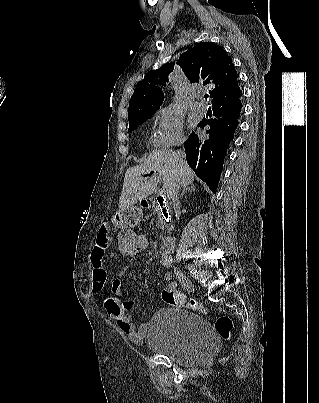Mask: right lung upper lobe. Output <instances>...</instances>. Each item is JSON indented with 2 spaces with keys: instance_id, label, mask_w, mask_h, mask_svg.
<instances>
[{
  "instance_id": "right-lung-upper-lobe-1",
  "label": "right lung upper lobe",
  "mask_w": 319,
  "mask_h": 403,
  "mask_svg": "<svg viewBox=\"0 0 319 403\" xmlns=\"http://www.w3.org/2000/svg\"><path fill=\"white\" fill-rule=\"evenodd\" d=\"M177 64L190 82L214 85L209 91L212 105L241 92L231 58L222 47L214 43L202 42L189 48L180 55ZM173 69L174 62L164 64L159 69L149 72L145 79L138 83L129 103V122L160 108L164 93L159 85L168 82V74Z\"/></svg>"
}]
</instances>
